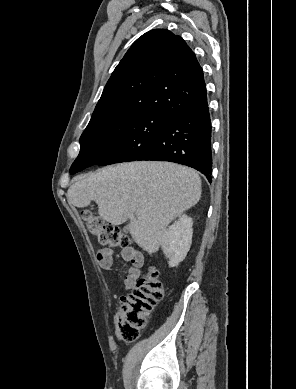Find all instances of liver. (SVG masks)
I'll list each match as a JSON object with an SVG mask.
<instances>
[{
    "instance_id": "liver-1",
    "label": "liver",
    "mask_w": 296,
    "mask_h": 389,
    "mask_svg": "<svg viewBox=\"0 0 296 389\" xmlns=\"http://www.w3.org/2000/svg\"><path fill=\"white\" fill-rule=\"evenodd\" d=\"M67 198L78 208L95 201L99 216L112 225L130 220L133 240L154 253L169 223L199 202L201 179L193 169L171 162H130L77 179Z\"/></svg>"
}]
</instances>
